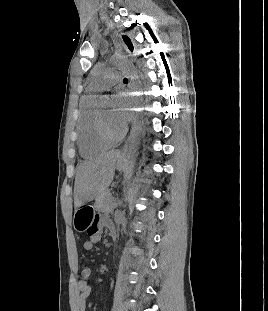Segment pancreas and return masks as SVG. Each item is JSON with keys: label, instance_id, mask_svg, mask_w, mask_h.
I'll use <instances>...</instances> for the list:
<instances>
[{"label": "pancreas", "instance_id": "1", "mask_svg": "<svg viewBox=\"0 0 268 311\" xmlns=\"http://www.w3.org/2000/svg\"><path fill=\"white\" fill-rule=\"evenodd\" d=\"M117 204L110 192H104L96 199L95 208L101 212H112Z\"/></svg>", "mask_w": 268, "mask_h": 311}]
</instances>
